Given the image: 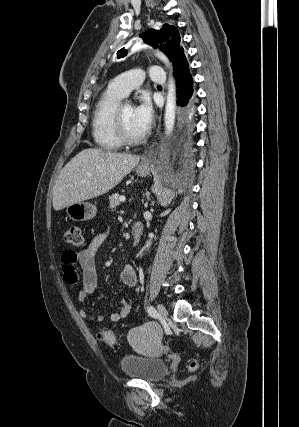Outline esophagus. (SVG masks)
<instances>
[{
    "mask_svg": "<svg viewBox=\"0 0 299 427\" xmlns=\"http://www.w3.org/2000/svg\"><path fill=\"white\" fill-rule=\"evenodd\" d=\"M150 153L151 152H149L148 155L143 159L142 165L147 166L149 164V162H150Z\"/></svg>",
    "mask_w": 299,
    "mask_h": 427,
    "instance_id": "esophagus-1",
    "label": "esophagus"
}]
</instances>
